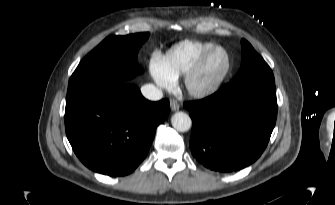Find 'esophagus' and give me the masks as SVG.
Here are the masks:
<instances>
[{"instance_id": "obj_1", "label": "esophagus", "mask_w": 335, "mask_h": 205, "mask_svg": "<svg viewBox=\"0 0 335 205\" xmlns=\"http://www.w3.org/2000/svg\"><path fill=\"white\" fill-rule=\"evenodd\" d=\"M170 108H171L172 111L179 110V104H178V102L175 101V100H171L170 101Z\"/></svg>"}]
</instances>
